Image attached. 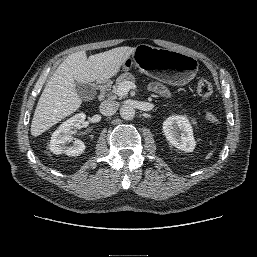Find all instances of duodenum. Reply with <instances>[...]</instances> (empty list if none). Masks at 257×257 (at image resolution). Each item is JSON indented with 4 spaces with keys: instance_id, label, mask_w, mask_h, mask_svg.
I'll use <instances>...</instances> for the list:
<instances>
[{
    "instance_id": "obj_1",
    "label": "duodenum",
    "mask_w": 257,
    "mask_h": 257,
    "mask_svg": "<svg viewBox=\"0 0 257 257\" xmlns=\"http://www.w3.org/2000/svg\"><path fill=\"white\" fill-rule=\"evenodd\" d=\"M97 87L99 90V98L103 100L106 96L107 88H108V82L107 81H99L97 83Z\"/></svg>"
}]
</instances>
